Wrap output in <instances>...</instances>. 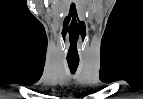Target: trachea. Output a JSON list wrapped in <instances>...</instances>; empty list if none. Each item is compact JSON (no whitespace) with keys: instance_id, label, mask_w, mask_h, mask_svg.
<instances>
[{"instance_id":"obj_1","label":"trachea","mask_w":143,"mask_h":99,"mask_svg":"<svg viewBox=\"0 0 143 99\" xmlns=\"http://www.w3.org/2000/svg\"><path fill=\"white\" fill-rule=\"evenodd\" d=\"M67 62L71 73L74 74L77 70L79 60H67Z\"/></svg>"}]
</instances>
